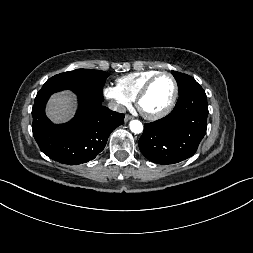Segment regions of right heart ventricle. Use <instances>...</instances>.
Segmentation results:
<instances>
[{"label":"right heart ventricle","mask_w":253,"mask_h":253,"mask_svg":"<svg viewBox=\"0 0 253 253\" xmlns=\"http://www.w3.org/2000/svg\"><path fill=\"white\" fill-rule=\"evenodd\" d=\"M158 71L134 72L121 76L116 80L117 88L130 100H135L143 85Z\"/></svg>","instance_id":"1"}]
</instances>
